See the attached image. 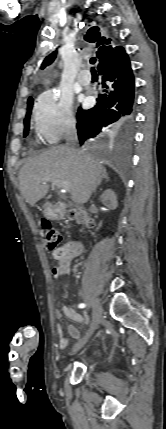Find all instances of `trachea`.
<instances>
[{"label":"trachea","mask_w":166,"mask_h":429,"mask_svg":"<svg viewBox=\"0 0 166 429\" xmlns=\"http://www.w3.org/2000/svg\"><path fill=\"white\" fill-rule=\"evenodd\" d=\"M95 63H96V58H94V57H93V58H91V59H90V64L94 65ZM91 71H92V72H96V71H95V69H94V67H92V68H91Z\"/></svg>","instance_id":"obj_1"}]
</instances>
